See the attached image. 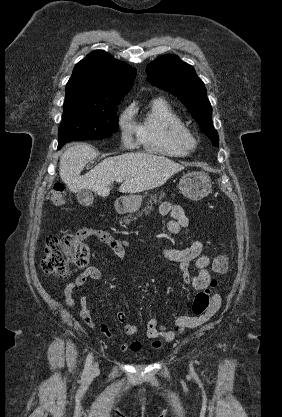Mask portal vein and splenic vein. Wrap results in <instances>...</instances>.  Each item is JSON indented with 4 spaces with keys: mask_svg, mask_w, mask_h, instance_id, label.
<instances>
[{
    "mask_svg": "<svg viewBox=\"0 0 282 417\" xmlns=\"http://www.w3.org/2000/svg\"><path fill=\"white\" fill-rule=\"evenodd\" d=\"M123 178H116V182H122Z\"/></svg>",
    "mask_w": 282,
    "mask_h": 417,
    "instance_id": "18ae733b",
    "label": "portal vein and splenic vein"
}]
</instances>
